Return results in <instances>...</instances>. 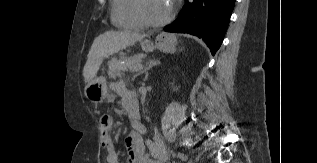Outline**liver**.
Masks as SVG:
<instances>
[{
  "mask_svg": "<svg viewBox=\"0 0 317 163\" xmlns=\"http://www.w3.org/2000/svg\"><path fill=\"white\" fill-rule=\"evenodd\" d=\"M144 37V34L128 31H106L96 37L83 69L85 83L91 82L96 77L104 58L134 45Z\"/></svg>",
  "mask_w": 317,
  "mask_h": 163,
  "instance_id": "6515ba94",
  "label": "liver"
}]
</instances>
